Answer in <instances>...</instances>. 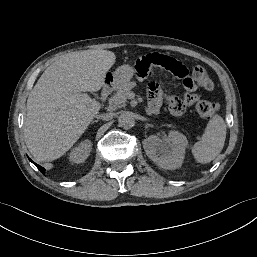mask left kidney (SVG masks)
I'll return each mask as SVG.
<instances>
[{
	"label": "left kidney",
	"mask_w": 257,
	"mask_h": 257,
	"mask_svg": "<svg viewBox=\"0 0 257 257\" xmlns=\"http://www.w3.org/2000/svg\"><path fill=\"white\" fill-rule=\"evenodd\" d=\"M142 143L148 158L160 168L172 170L182 166L188 145L182 133L170 131L168 136L151 135Z\"/></svg>",
	"instance_id": "left-kidney-1"
}]
</instances>
